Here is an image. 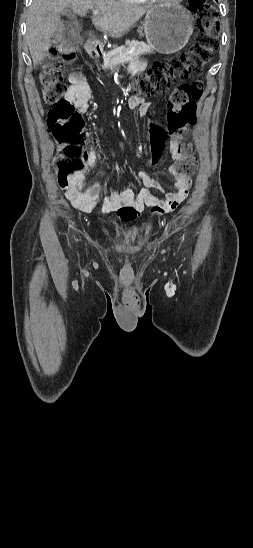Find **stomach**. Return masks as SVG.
<instances>
[{
  "mask_svg": "<svg viewBox=\"0 0 253 548\" xmlns=\"http://www.w3.org/2000/svg\"><path fill=\"white\" fill-rule=\"evenodd\" d=\"M193 32L190 12L178 4H160L146 14V40L157 52L172 54L182 49Z\"/></svg>",
  "mask_w": 253,
  "mask_h": 548,
  "instance_id": "obj_1",
  "label": "stomach"
}]
</instances>
